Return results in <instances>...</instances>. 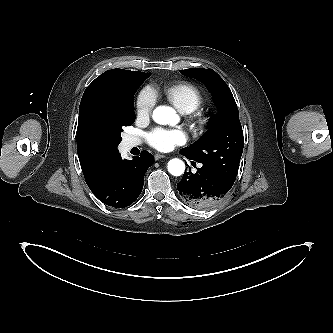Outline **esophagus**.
Returning a JSON list of instances; mask_svg holds the SVG:
<instances>
[{
  "label": "esophagus",
  "instance_id": "1",
  "mask_svg": "<svg viewBox=\"0 0 333 333\" xmlns=\"http://www.w3.org/2000/svg\"><path fill=\"white\" fill-rule=\"evenodd\" d=\"M155 160L157 161V160H160V159H163V158H166V156L165 155H163V154H155Z\"/></svg>",
  "mask_w": 333,
  "mask_h": 333
}]
</instances>
